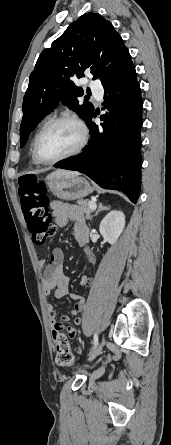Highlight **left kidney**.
I'll return each mask as SVG.
<instances>
[{
  "mask_svg": "<svg viewBox=\"0 0 171 445\" xmlns=\"http://www.w3.org/2000/svg\"><path fill=\"white\" fill-rule=\"evenodd\" d=\"M125 227L123 212L112 210L101 221L99 231L104 240L111 245L115 244Z\"/></svg>",
  "mask_w": 171,
  "mask_h": 445,
  "instance_id": "5707ae66",
  "label": "left kidney"
}]
</instances>
